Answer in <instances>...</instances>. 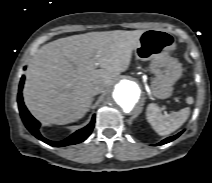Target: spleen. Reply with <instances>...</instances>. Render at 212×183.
<instances>
[{"label": "spleen", "instance_id": "spleen-1", "mask_svg": "<svg viewBox=\"0 0 212 183\" xmlns=\"http://www.w3.org/2000/svg\"><path fill=\"white\" fill-rule=\"evenodd\" d=\"M189 114V107L170 114H162L161 109L154 103L149 104L146 109L147 121L161 136L168 135L180 128L188 119Z\"/></svg>", "mask_w": 212, "mask_h": 183}]
</instances>
